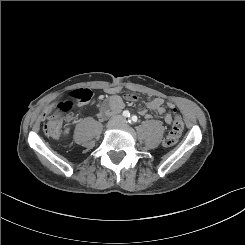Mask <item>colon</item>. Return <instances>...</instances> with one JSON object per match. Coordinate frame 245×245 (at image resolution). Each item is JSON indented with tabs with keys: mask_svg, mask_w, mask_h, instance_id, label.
<instances>
[{
	"mask_svg": "<svg viewBox=\"0 0 245 245\" xmlns=\"http://www.w3.org/2000/svg\"><path fill=\"white\" fill-rule=\"evenodd\" d=\"M92 98V92L88 89H78L69 93L62 101L47 109L43 118L45 120L44 131L52 137L58 138L61 134L62 122L71 118L77 105L87 103ZM175 112V108H173ZM183 122L178 115H175L171 129L163 140L165 147L174 146L181 135Z\"/></svg>",
	"mask_w": 245,
	"mask_h": 245,
	"instance_id": "1",
	"label": "colon"
}]
</instances>
